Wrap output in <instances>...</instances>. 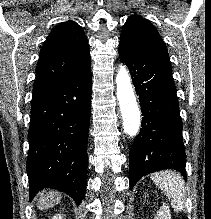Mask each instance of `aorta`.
<instances>
[{
    "instance_id": "aorta-1",
    "label": "aorta",
    "mask_w": 211,
    "mask_h": 219,
    "mask_svg": "<svg viewBox=\"0 0 211 219\" xmlns=\"http://www.w3.org/2000/svg\"><path fill=\"white\" fill-rule=\"evenodd\" d=\"M117 99L123 118L124 132L133 137L140 129V110L127 68L121 65L116 76Z\"/></svg>"
}]
</instances>
